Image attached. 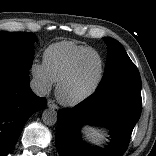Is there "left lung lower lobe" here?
<instances>
[{"label":"left lung lower lobe","mask_w":156,"mask_h":156,"mask_svg":"<svg viewBox=\"0 0 156 156\" xmlns=\"http://www.w3.org/2000/svg\"><path fill=\"white\" fill-rule=\"evenodd\" d=\"M141 88L113 86L95 91L72 109L58 111L56 147L60 156H122L141 115ZM84 124L107 125L113 134L106 148L85 145Z\"/></svg>","instance_id":"obj_1"}]
</instances>
